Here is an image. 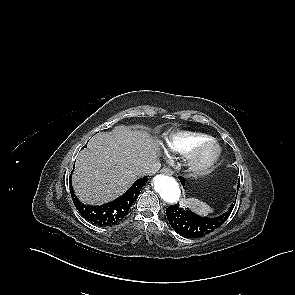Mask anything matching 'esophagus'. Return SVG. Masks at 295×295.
Returning <instances> with one entry per match:
<instances>
[{
    "instance_id": "1",
    "label": "esophagus",
    "mask_w": 295,
    "mask_h": 295,
    "mask_svg": "<svg viewBox=\"0 0 295 295\" xmlns=\"http://www.w3.org/2000/svg\"><path fill=\"white\" fill-rule=\"evenodd\" d=\"M161 172L163 174H166V175H169V176H171L173 174V171L171 169H169V168H166V167L162 168Z\"/></svg>"
}]
</instances>
